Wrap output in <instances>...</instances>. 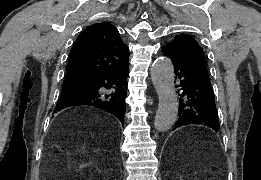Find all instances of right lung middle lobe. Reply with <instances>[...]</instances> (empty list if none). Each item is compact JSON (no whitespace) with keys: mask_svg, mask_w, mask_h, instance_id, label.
Segmentation results:
<instances>
[{"mask_svg":"<svg viewBox=\"0 0 261 180\" xmlns=\"http://www.w3.org/2000/svg\"><path fill=\"white\" fill-rule=\"evenodd\" d=\"M89 88V82L84 81H74V82H64L61 96H66L68 94L82 91Z\"/></svg>","mask_w":261,"mask_h":180,"instance_id":"1","label":"right lung middle lobe"}]
</instances>
